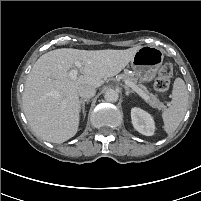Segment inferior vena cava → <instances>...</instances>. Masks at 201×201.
I'll use <instances>...</instances> for the list:
<instances>
[{
    "mask_svg": "<svg viewBox=\"0 0 201 201\" xmlns=\"http://www.w3.org/2000/svg\"><path fill=\"white\" fill-rule=\"evenodd\" d=\"M95 93H96L95 88L91 86H81L78 89L79 96L84 99H90L95 95Z\"/></svg>",
    "mask_w": 201,
    "mask_h": 201,
    "instance_id": "602c4592",
    "label": "inferior vena cava"
}]
</instances>
